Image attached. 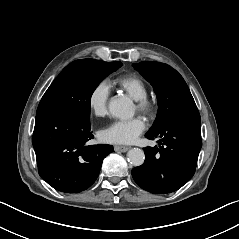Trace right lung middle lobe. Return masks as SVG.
<instances>
[{"mask_svg":"<svg viewBox=\"0 0 239 239\" xmlns=\"http://www.w3.org/2000/svg\"><path fill=\"white\" fill-rule=\"evenodd\" d=\"M121 66L119 61L107 63L95 59H81L70 63L47 89L36 114L52 108L66 107L90 117V99L94 90L104 78Z\"/></svg>","mask_w":239,"mask_h":239,"instance_id":"dd1d6c3e","label":"right lung middle lobe"}]
</instances>
